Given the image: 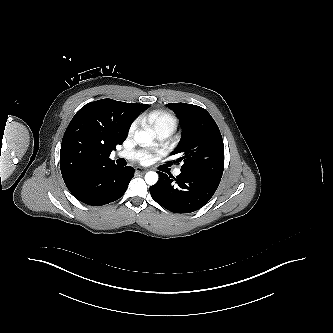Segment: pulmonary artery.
Wrapping results in <instances>:
<instances>
[{
  "label": "pulmonary artery",
  "mask_w": 333,
  "mask_h": 333,
  "mask_svg": "<svg viewBox=\"0 0 333 333\" xmlns=\"http://www.w3.org/2000/svg\"><path fill=\"white\" fill-rule=\"evenodd\" d=\"M173 129L171 128H162L156 131L157 133V137L159 140H165L166 138H168L172 133H173ZM117 156L120 158H124L127 160H137L141 157V153L135 150H124L121 152L117 153ZM181 173L180 169H176L174 171L175 175H179Z\"/></svg>",
  "instance_id": "e3ab8cb5"
}]
</instances>
